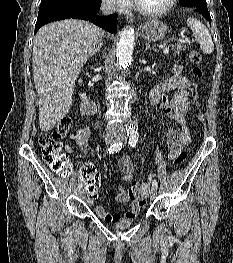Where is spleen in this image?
I'll use <instances>...</instances> for the list:
<instances>
[{"label":"spleen","mask_w":233,"mask_h":263,"mask_svg":"<svg viewBox=\"0 0 233 263\" xmlns=\"http://www.w3.org/2000/svg\"><path fill=\"white\" fill-rule=\"evenodd\" d=\"M187 24L191 28L196 41L200 44V49L205 54H211L214 50V44L207 27L195 18H188Z\"/></svg>","instance_id":"obj_1"}]
</instances>
